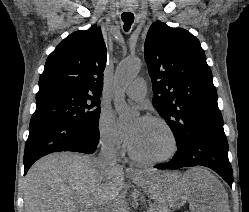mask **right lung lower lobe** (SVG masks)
<instances>
[{"label":"right lung lower lobe","instance_id":"98d812e1","mask_svg":"<svg viewBox=\"0 0 249 212\" xmlns=\"http://www.w3.org/2000/svg\"><path fill=\"white\" fill-rule=\"evenodd\" d=\"M24 151V175L39 158L61 151L91 154L99 145V130L67 121H47L30 126Z\"/></svg>","mask_w":249,"mask_h":212}]
</instances>
